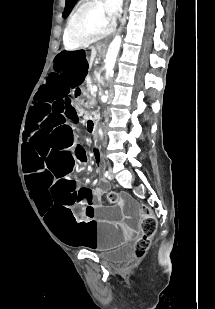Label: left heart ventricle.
I'll use <instances>...</instances> for the list:
<instances>
[{
	"instance_id": "1",
	"label": "left heart ventricle",
	"mask_w": 215,
	"mask_h": 309,
	"mask_svg": "<svg viewBox=\"0 0 215 309\" xmlns=\"http://www.w3.org/2000/svg\"><path fill=\"white\" fill-rule=\"evenodd\" d=\"M82 13L86 14V19L81 20V27H76V25H73L70 33H74V39H78L75 38V35H78L79 33H85L86 39H78V41H87V34H93L94 29H105V25H107L108 20L106 18L105 11L101 7H92L88 10L83 11ZM84 22H87V29L83 28Z\"/></svg>"
}]
</instances>
